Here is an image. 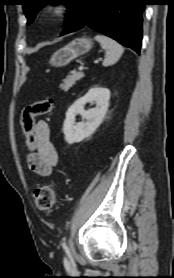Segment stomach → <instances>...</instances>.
Masks as SVG:
<instances>
[{
  "label": "stomach",
  "instance_id": "stomach-1",
  "mask_svg": "<svg viewBox=\"0 0 174 278\" xmlns=\"http://www.w3.org/2000/svg\"><path fill=\"white\" fill-rule=\"evenodd\" d=\"M92 48V40L87 37L76 38L66 46L57 50L50 58L49 63L54 67H63Z\"/></svg>",
  "mask_w": 174,
  "mask_h": 278
}]
</instances>
